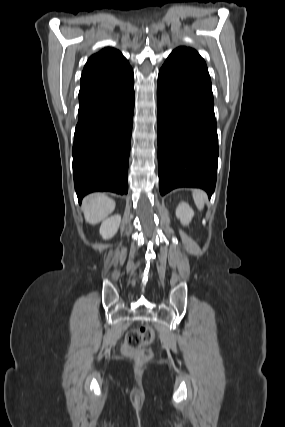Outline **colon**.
Here are the masks:
<instances>
[{
  "label": "colon",
  "mask_w": 285,
  "mask_h": 427,
  "mask_svg": "<svg viewBox=\"0 0 285 427\" xmlns=\"http://www.w3.org/2000/svg\"><path fill=\"white\" fill-rule=\"evenodd\" d=\"M153 340L154 331L150 326L133 329L126 334L124 350L139 363L149 361L153 357L150 349Z\"/></svg>",
  "instance_id": "5ec220e1"
}]
</instances>
